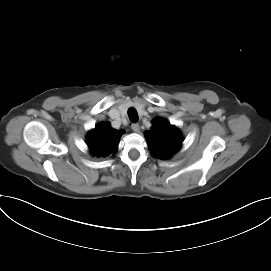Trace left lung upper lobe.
I'll return each instance as SVG.
<instances>
[{"mask_svg": "<svg viewBox=\"0 0 271 271\" xmlns=\"http://www.w3.org/2000/svg\"><path fill=\"white\" fill-rule=\"evenodd\" d=\"M147 144L154 157L167 159L176 153L182 145V135L168 121L157 118L152 128L145 133Z\"/></svg>", "mask_w": 271, "mask_h": 271, "instance_id": "left-lung-upper-lobe-1", "label": "left lung upper lobe"}]
</instances>
